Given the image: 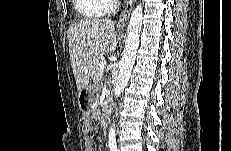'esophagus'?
<instances>
[{
  "instance_id": "obj_1",
  "label": "esophagus",
  "mask_w": 231,
  "mask_h": 151,
  "mask_svg": "<svg viewBox=\"0 0 231 151\" xmlns=\"http://www.w3.org/2000/svg\"><path fill=\"white\" fill-rule=\"evenodd\" d=\"M134 3H135V0H129L127 2L126 8H125L122 16L119 19V26H124L128 22L131 10L134 6Z\"/></svg>"
}]
</instances>
